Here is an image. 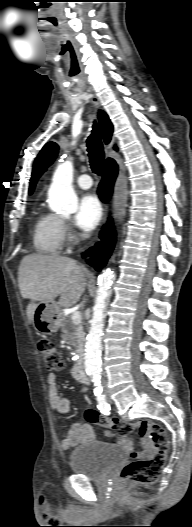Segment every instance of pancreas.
Listing matches in <instances>:
<instances>
[{"instance_id":"1","label":"pancreas","mask_w":192,"mask_h":527,"mask_svg":"<svg viewBox=\"0 0 192 527\" xmlns=\"http://www.w3.org/2000/svg\"><path fill=\"white\" fill-rule=\"evenodd\" d=\"M62 338L74 347H82L85 341V333L82 324H74L72 320L65 319L61 323Z\"/></svg>"}]
</instances>
